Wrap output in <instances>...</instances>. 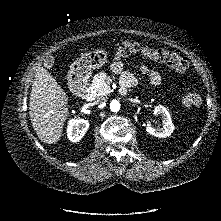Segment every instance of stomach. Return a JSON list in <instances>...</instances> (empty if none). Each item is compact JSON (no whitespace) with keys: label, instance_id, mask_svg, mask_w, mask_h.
<instances>
[{"label":"stomach","instance_id":"stomach-1","mask_svg":"<svg viewBox=\"0 0 221 221\" xmlns=\"http://www.w3.org/2000/svg\"><path fill=\"white\" fill-rule=\"evenodd\" d=\"M107 63V52L104 49H97L83 54L71 65V73L77 77L91 74L95 69L102 68Z\"/></svg>","mask_w":221,"mask_h":221}]
</instances>
